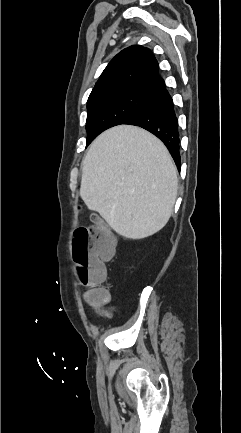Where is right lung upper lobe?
I'll return each instance as SVG.
<instances>
[{"mask_svg":"<svg viewBox=\"0 0 241 433\" xmlns=\"http://www.w3.org/2000/svg\"><path fill=\"white\" fill-rule=\"evenodd\" d=\"M158 70V62L148 48L130 46L107 65L87 102L124 93L151 95L165 84Z\"/></svg>","mask_w":241,"mask_h":433,"instance_id":"cb5924a9","label":"right lung upper lobe"}]
</instances>
